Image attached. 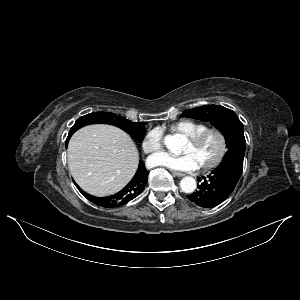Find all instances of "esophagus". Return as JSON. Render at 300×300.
<instances>
[{
    "label": "esophagus",
    "mask_w": 300,
    "mask_h": 300,
    "mask_svg": "<svg viewBox=\"0 0 300 300\" xmlns=\"http://www.w3.org/2000/svg\"><path fill=\"white\" fill-rule=\"evenodd\" d=\"M172 174H173L174 176H177V177H182V176L185 175L184 173L178 172V171H172Z\"/></svg>",
    "instance_id": "esophagus-1"
}]
</instances>
